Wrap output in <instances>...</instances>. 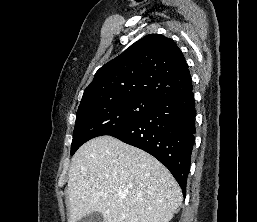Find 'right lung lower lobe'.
Segmentation results:
<instances>
[{"instance_id": "1", "label": "right lung lower lobe", "mask_w": 257, "mask_h": 222, "mask_svg": "<svg viewBox=\"0 0 257 222\" xmlns=\"http://www.w3.org/2000/svg\"><path fill=\"white\" fill-rule=\"evenodd\" d=\"M195 100L192 88L161 100L143 118L111 136L140 148L164 164L183 195L195 141Z\"/></svg>"}]
</instances>
